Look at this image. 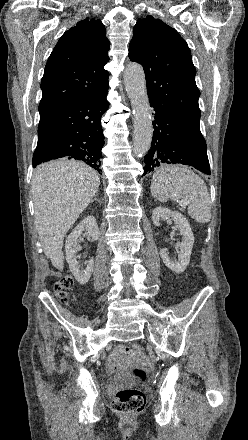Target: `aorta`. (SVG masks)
Wrapping results in <instances>:
<instances>
[{"label": "aorta", "instance_id": "762f6f07", "mask_svg": "<svg viewBox=\"0 0 248 440\" xmlns=\"http://www.w3.org/2000/svg\"><path fill=\"white\" fill-rule=\"evenodd\" d=\"M124 84L134 114L133 152L135 156L143 157L151 147L153 136L152 114L143 67L130 63L124 72Z\"/></svg>", "mask_w": 248, "mask_h": 440}]
</instances>
